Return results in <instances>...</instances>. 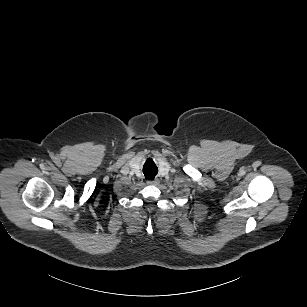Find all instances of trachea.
<instances>
[{"instance_id":"3493384b","label":"trachea","mask_w":307,"mask_h":307,"mask_svg":"<svg viewBox=\"0 0 307 307\" xmlns=\"http://www.w3.org/2000/svg\"><path fill=\"white\" fill-rule=\"evenodd\" d=\"M158 169L157 166L153 163V161L148 162L143 167V173L145 174V178L147 180H153L157 175Z\"/></svg>"}]
</instances>
